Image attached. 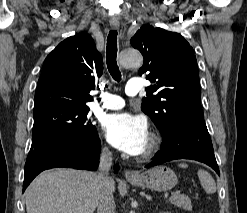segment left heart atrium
Segmentation results:
<instances>
[{
  "label": "left heart atrium",
  "instance_id": "obj_1",
  "mask_svg": "<svg viewBox=\"0 0 247 213\" xmlns=\"http://www.w3.org/2000/svg\"><path fill=\"white\" fill-rule=\"evenodd\" d=\"M102 127L110 143L130 155H139L146 148L148 127L141 116L127 112L110 114L103 119Z\"/></svg>",
  "mask_w": 247,
  "mask_h": 213
}]
</instances>
